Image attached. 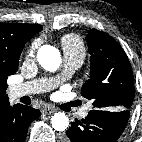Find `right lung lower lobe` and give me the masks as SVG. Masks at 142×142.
<instances>
[{"mask_svg":"<svg viewBox=\"0 0 142 142\" xmlns=\"http://www.w3.org/2000/svg\"><path fill=\"white\" fill-rule=\"evenodd\" d=\"M40 111L30 106L9 103L0 107V142H25L30 123Z\"/></svg>","mask_w":142,"mask_h":142,"instance_id":"1","label":"right lung lower lobe"}]
</instances>
